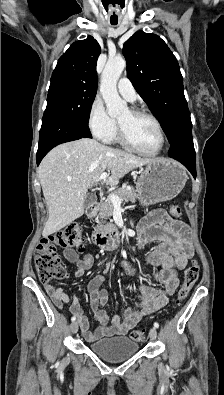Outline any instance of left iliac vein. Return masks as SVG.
Here are the masks:
<instances>
[{
  "instance_id": "1",
  "label": "left iliac vein",
  "mask_w": 224,
  "mask_h": 395,
  "mask_svg": "<svg viewBox=\"0 0 224 395\" xmlns=\"http://www.w3.org/2000/svg\"><path fill=\"white\" fill-rule=\"evenodd\" d=\"M149 336H150V338H151L152 340H155V339L157 338V330H156L155 327H152V328L149 330Z\"/></svg>"
}]
</instances>
